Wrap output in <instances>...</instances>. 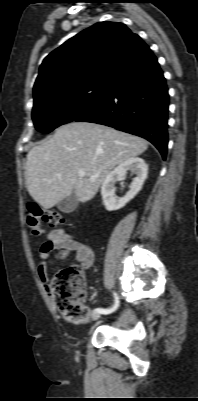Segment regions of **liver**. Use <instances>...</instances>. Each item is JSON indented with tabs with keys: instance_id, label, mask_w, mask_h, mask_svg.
<instances>
[{
	"instance_id": "liver-1",
	"label": "liver",
	"mask_w": 198,
	"mask_h": 401,
	"mask_svg": "<svg viewBox=\"0 0 198 401\" xmlns=\"http://www.w3.org/2000/svg\"><path fill=\"white\" fill-rule=\"evenodd\" d=\"M147 148L141 137L95 123L71 122L28 152L26 187L45 209L72 192L84 203L96 195L113 168ZM80 170L85 172L82 178Z\"/></svg>"
}]
</instances>
